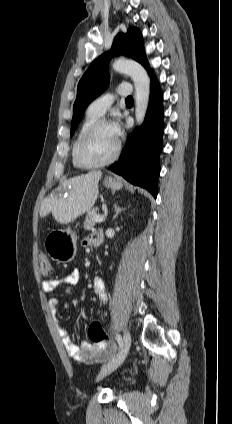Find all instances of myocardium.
<instances>
[{"instance_id":"f54148a6","label":"myocardium","mask_w":232,"mask_h":424,"mask_svg":"<svg viewBox=\"0 0 232 424\" xmlns=\"http://www.w3.org/2000/svg\"><path fill=\"white\" fill-rule=\"evenodd\" d=\"M111 125V122L106 119H97L94 123H92L87 130L83 133V135L80 137L76 149H75V158L78 162V164L82 168H97L102 167L105 165H108L112 163L116 158L118 157L120 150H121V142L119 139H117L116 147L113 153L107 157L106 159H103L101 161L97 162H90L87 161L83 156V147L88 142V140L103 126Z\"/></svg>"}]
</instances>
